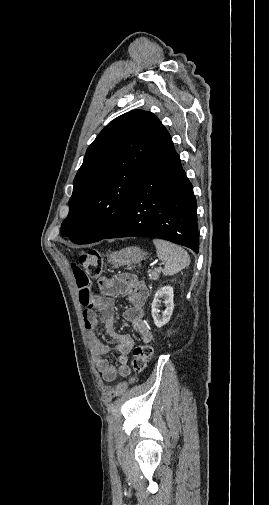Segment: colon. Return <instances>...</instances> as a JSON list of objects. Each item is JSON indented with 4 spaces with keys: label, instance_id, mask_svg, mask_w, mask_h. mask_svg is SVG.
Here are the masks:
<instances>
[{
    "label": "colon",
    "instance_id": "5ec220e1",
    "mask_svg": "<svg viewBox=\"0 0 269 505\" xmlns=\"http://www.w3.org/2000/svg\"><path fill=\"white\" fill-rule=\"evenodd\" d=\"M80 268H85L89 278L97 281L103 271L101 257L96 249L81 251L77 256ZM154 355V349L148 344L138 345L133 351L132 370L134 377L141 374ZM132 377V379H134Z\"/></svg>",
    "mask_w": 269,
    "mask_h": 505
}]
</instances>
